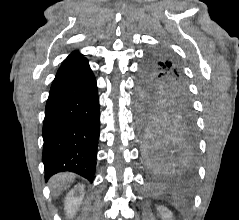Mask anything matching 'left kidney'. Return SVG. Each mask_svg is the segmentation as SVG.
Returning a JSON list of instances; mask_svg holds the SVG:
<instances>
[{
    "mask_svg": "<svg viewBox=\"0 0 239 220\" xmlns=\"http://www.w3.org/2000/svg\"><path fill=\"white\" fill-rule=\"evenodd\" d=\"M160 217L162 220H174L172 212L164 206L157 207Z\"/></svg>",
    "mask_w": 239,
    "mask_h": 220,
    "instance_id": "1",
    "label": "left kidney"
}]
</instances>
